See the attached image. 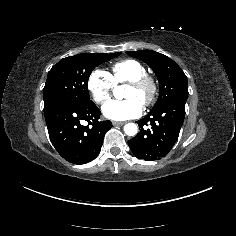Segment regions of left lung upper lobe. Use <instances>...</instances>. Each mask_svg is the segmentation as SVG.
<instances>
[{"instance_id": "5c2ea615", "label": "left lung upper lobe", "mask_w": 236, "mask_h": 236, "mask_svg": "<svg viewBox=\"0 0 236 236\" xmlns=\"http://www.w3.org/2000/svg\"><path fill=\"white\" fill-rule=\"evenodd\" d=\"M127 54L148 64L158 78L160 94L151 111L159 109L174 99L188 98L187 77L169 57L152 50L129 51Z\"/></svg>"}]
</instances>
